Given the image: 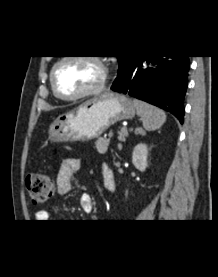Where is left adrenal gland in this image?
<instances>
[{
    "instance_id": "obj_1",
    "label": "left adrenal gland",
    "mask_w": 218,
    "mask_h": 277,
    "mask_svg": "<svg viewBox=\"0 0 218 277\" xmlns=\"http://www.w3.org/2000/svg\"><path fill=\"white\" fill-rule=\"evenodd\" d=\"M119 139H120V140H124V139H122V135L119 136Z\"/></svg>"
}]
</instances>
